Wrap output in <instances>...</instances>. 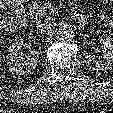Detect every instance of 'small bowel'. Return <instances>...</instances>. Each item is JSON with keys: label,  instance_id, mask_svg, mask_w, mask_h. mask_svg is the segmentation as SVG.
I'll return each instance as SVG.
<instances>
[{"label": "small bowel", "instance_id": "small-bowel-1", "mask_svg": "<svg viewBox=\"0 0 113 113\" xmlns=\"http://www.w3.org/2000/svg\"><path fill=\"white\" fill-rule=\"evenodd\" d=\"M86 1H89V0H86ZM112 1H113V0H110L111 4H112ZM111 25L113 26V23H112V21H111Z\"/></svg>", "mask_w": 113, "mask_h": 113}]
</instances>
